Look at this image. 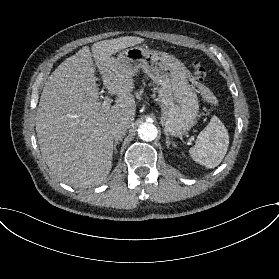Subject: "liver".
<instances>
[{
    "label": "liver",
    "mask_w": 279,
    "mask_h": 279,
    "mask_svg": "<svg viewBox=\"0 0 279 279\" xmlns=\"http://www.w3.org/2000/svg\"><path fill=\"white\" fill-rule=\"evenodd\" d=\"M144 42L124 36L82 47L65 59L49 76L35 116L38 144L47 166L58 178L74 187L103 183L112 168L111 128L119 123L130 127L136 104L132 95L133 72L113 54ZM116 104L99 101V80ZM202 90L201 85L194 81Z\"/></svg>",
    "instance_id": "6515ba94"
}]
</instances>
